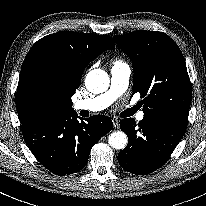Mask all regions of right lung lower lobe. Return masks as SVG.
Returning <instances> with one entry per match:
<instances>
[{"instance_id": "right-lung-lower-lobe-1", "label": "right lung lower lobe", "mask_w": 206, "mask_h": 206, "mask_svg": "<svg viewBox=\"0 0 206 206\" xmlns=\"http://www.w3.org/2000/svg\"><path fill=\"white\" fill-rule=\"evenodd\" d=\"M76 113L22 129L26 144L49 171L64 176L83 169L91 148L113 127L112 120L95 115L83 121Z\"/></svg>"}]
</instances>
